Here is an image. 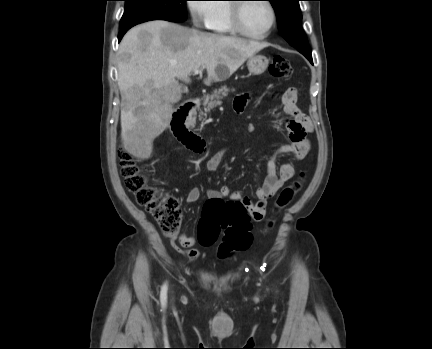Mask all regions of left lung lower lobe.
Returning a JSON list of instances; mask_svg holds the SVG:
<instances>
[{
	"mask_svg": "<svg viewBox=\"0 0 432 349\" xmlns=\"http://www.w3.org/2000/svg\"><path fill=\"white\" fill-rule=\"evenodd\" d=\"M298 51L300 53H302L310 61L311 64H313L312 56H311V51L310 50L298 49Z\"/></svg>",
	"mask_w": 432,
	"mask_h": 349,
	"instance_id": "1",
	"label": "left lung lower lobe"
}]
</instances>
